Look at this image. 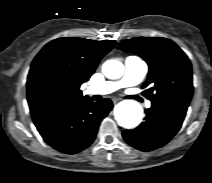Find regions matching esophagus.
Segmentation results:
<instances>
[{
    "label": "esophagus",
    "mask_w": 212,
    "mask_h": 183,
    "mask_svg": "<svg viewBox=\"0 0 212 183\" xmlns=\"http://www.w3.org/2000/svg\"><path fill=\"white\" fill-rule=\"evenodd\" d=\"M118 101H119L118 98H114V99H113V103H114V104H116Z\"/></svg>",
    "instance_id": "esophagus-1"
}]
</instances>
